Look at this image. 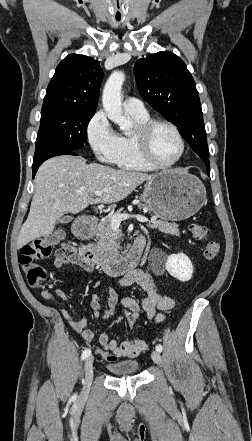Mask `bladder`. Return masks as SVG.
<instances>
[{
	"instance_id": "31cf9c89",
	"label": "bladder",
	"mask_w": 252,
	"mask_h": 441,
	"mask_svg": "<svg viewBox=\"0 0 252 441\" xmlns=\"http://www.w3.org/2000/svg\"><path fill=\"white\" fill-rule=\"evenodd\" d=\"M139 363L137 361H124L118 363H110L107 365V370L114 377H126L137 373L139 370Z\"/></svg>"
}]
</instances>
